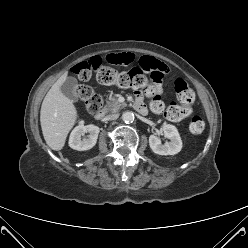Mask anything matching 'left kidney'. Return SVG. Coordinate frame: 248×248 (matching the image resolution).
Here are the masks:
<instances>
[{"label": "left kidney", "mask_w": 248, "mask_h": 248, "mask_svg": "<svg viewBox=\"0 0 248 248\" xmlns=\"http://www.w3.org/2000/svg\"><path fill=\"white\" fill-rule=\"evenodd\" d=\"M163 133L170 142L161 143L158 136L152 134L149 136V145L152 151L159 155H175L182 149V140L175 126L166 124L163 126Z\"/></svg>", "instance_id": "obj_1"}]
</instances>
